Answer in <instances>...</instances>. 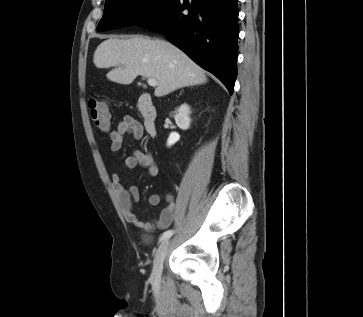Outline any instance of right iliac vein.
<instances>
[{"instance_id": "right-iliac-vein-1", "label": "right iliac vein", "mask_w": 363, "mask_h": 317, "mask_svg": "<svg viewBox=\"0 0 363 317\" xmlns=\"http://www.w3.org/2000/svg\"><path fill=\"white\" fill-rule=\"evenodd\" d=\"M169 246H170V241L168 239L164 240L161 243V245L159 246L156 256L154 258L150 281H151L153 288H155V289L158 288V286L160 284L162 269H163V262L167 255Z\"/></svg>"}]
</instances>
